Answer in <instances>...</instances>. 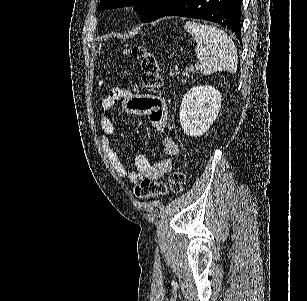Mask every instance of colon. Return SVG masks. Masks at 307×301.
<instances>
[{
    "instance_id": "5ec220e1",
    "label": "colon",
    "mask_w": 307,
    "mask_h": 301,
    "mask_svg": "<svg viewBox=\"0 0 307 301\" xmlns=\"http://www.w3.org/2000/svg\"><path fill=\"white\" fill-rule=\"evenodd\" d=\"M126 54L132 55L141 61L142 75L141 85L144 89L154 90L161 87L163 78L156 57L144 46H134L126 50ZM186 175L181 170L172 171L167 182H160L150 178L143 179L134 189L135 196L139 199H148L156 196H163L169 193L179 194L186 185Z\"/></svg>"
}]
</instances>
